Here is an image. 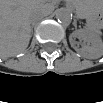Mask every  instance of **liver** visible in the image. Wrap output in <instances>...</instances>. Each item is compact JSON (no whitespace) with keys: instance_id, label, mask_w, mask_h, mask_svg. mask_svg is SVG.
I'll use <instances>...</instances> for the list:
<instances>
[{"instance_id":"1","label":"liver","mask_w":103,"mask_h":103,"mask_svg":"<svg viewBox=\"0 0 103 103\" xmlns=\"http://www.w3.org/2000/svg\"><path fill=\"white\" fill-rule=\"evenodd\" d=\"M52 10L50 1H1V56L12 57L23 52L31 39V15L38 12L48 14Z\"/></svg>"}]
</instances>
